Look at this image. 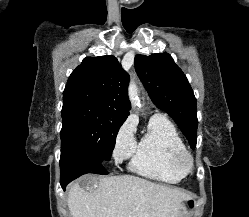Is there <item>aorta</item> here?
Segmentation results:
<instances>
[{"label":"aorta","instance_id":"obj_1","mask_svg":"<svg viewBox=\"0 0 249 217\" xmlns=\"http://www.w3.org/2000/svg\"><path fill=\"white\" fill-rule=\"evenodd\" d=\"M128 95L132 107H140V99L138 94V87L135 81H131L128 88Z\"/></svg>","mask_w":249,"mask_h":217}]
</instances>
